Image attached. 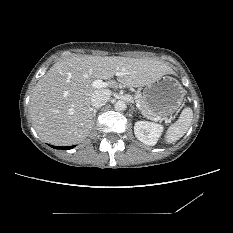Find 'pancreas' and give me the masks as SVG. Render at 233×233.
<instances>
[{
    "label": "pancreas",
    "mask_w": 233,
    "mask_h": 233,
    "mask_svg": "<svg viewBox=\"0 0 233 233\" xmlns=\"http://www.w3.org/2000/svg\"><path fill=\"white\" fill-rule=\"evenodd\" d=\"M135 101L140 104V110L144 117L151 120H154L156 118L157 115L148 107L140 91H137L135 93Z\"/></svg>",
    "instance_id": "pancreas-1"
}]
</instances>
